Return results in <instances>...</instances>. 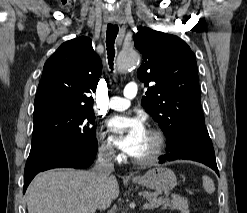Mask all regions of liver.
<instances>
[{"label": "liver", "mask_w": 247, "mask_h": 213, "mask_svg": "<svg viewBox=\"0 0 247 213\" xmlns=\"http://www.w3.org/2000/svg\"><path fill=\"white\" fill-rule=\"evenodd\" d=\"M114 176L93 171L54 169L37 175L26 191L28 213H95L119 196Z\"/></svg>", "instance_id": "6515ba94"}]
</instances>
